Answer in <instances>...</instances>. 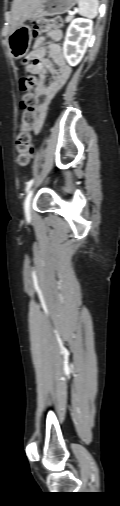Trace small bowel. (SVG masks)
<instances>
[{"instance_id": "small-bowel-1", "label": "small bowel", "mask_w": 120, "mask_h": 506, "mask_svg": "<svg viewBox=\"0 0 120 506\" xmlns=\"http://www.w3.org/2000/svg\"><path fill=\"white\" fill-rule=\"evenodd\" d=\"M49 37L51 42L46 44H42V40L38 39L30 53V70L37 77L35 94L44 97V101L36 106L37 118L33 126L35 134L39 133L43 126L49 103L65 85L71 74V68L65 63L63 52L57 43L61 38V32L54 30L49 34ZM51 61L58 66L57 69L54 68ZM48 72L52 75V81L46 86L44 81Z\"/></svg>"}]
</instances>
